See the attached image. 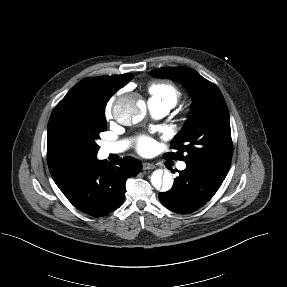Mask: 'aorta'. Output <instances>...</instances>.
Masks as SVG:
<instances>
[{"label":"aorta","instance_id":"obj_1","mask_svg":"<svg viewBox=\"0 0 287 287\" xmlns=\"http://www.w3.org/2000/svg\"><path fill=\"white\" fill-rule=\"evenodd\" d=\"M146 107L138 95L128 94L120 97L113 107V116L123 125L138 123L145 115ZM152 186L161 191H169L173 186L172 174L162 169L155 170L150 178Z\"/></svg>","mask_w":287,"mask_h":287}]
</instances>
